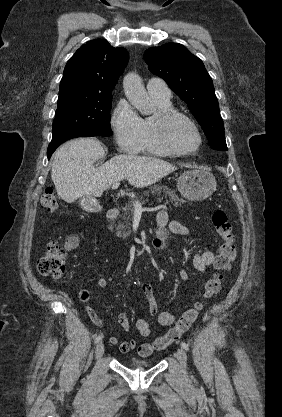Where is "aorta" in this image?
Returning <instances> with one entry per match:
<instances>
[{
    "label": "aorta",
    "mask_w": 282,
    "mask_h": 417,
    "mask_svg": "<svg viewBox=\"0 0 282 417\" xmlns=\"http://www.w3.org/2000/svg\"><path fill=\"white\" fill-rule=\"evenodd\" d=\"M123 88L126 98L141 114L152 112V102L142 82L141 76L136 72H127L123 78Z\"/></svg>",
    "instance_id": "762f6f07"
}]
</instances>
